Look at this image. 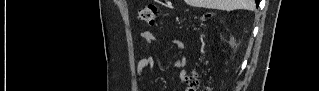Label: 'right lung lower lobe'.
I'll list each match as a JSON object with an SVG mask.
<instances>
[{"mask_svg":"<svg viewBox=\"0 0 319 91\" xmlns=\"http://www.w3.org/2000/svg\"><path fill=\"white\" fill-rule=\"evenodd\" d=\"M256 1V5L258 6L259 5V0H255Z\"/></svg>","mask_w":319,"mask_h":91,"instance_id":"obj_1","label":"right lung lower lobe"}]
</instances>
